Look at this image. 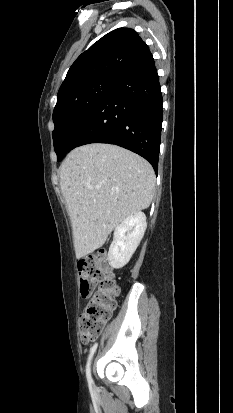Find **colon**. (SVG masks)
I'll return each instance as SVG.
<instances>
[{
    "label": "colon",
    "instance_id": "5ec220e1",
    "mask_svg": "<svg viewBox=\"0 0 233 413\" xmlns=\"http://www.w3.org/2000/svg\"><path fill=\"white\" fill-rule=\"evenodd\" d=\"M78 275L83 297L91 296L97 288L80 317L79 334L86 343L96 338L110 319L116 307L115 298L119 294V286L103 251L80 260Z\"/></svg>",
    "mask_w": 233,
    "mask_h": 413
}]
</instances>
